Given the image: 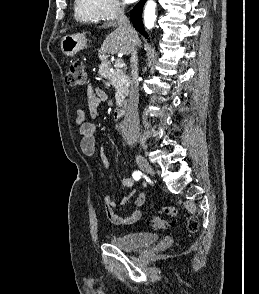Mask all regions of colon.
<instances>
[{
  "label": "colon",
  "instance_id": "obj_1",
  "mask_svg": "<svg viewBox=\"0 0 259 294\" xmlns=\"http://www.w3.org/2000/svg\"><path fill=\"white\" fill-rule=\"evenodd\" d=\"M66 85L69 87H81L87 83V74L85 71L84 63L80 60H74L70 63L68 72L65 76ZM159 214H164L168 217H174L177 214V210L172 206L162 207ZM149 224L154 228H167L170 223L158 215L151 216ZM198 221L195 218H191L188 223V228L191 232H195L198 229Z\"/></svg>",
  "mask_w": 259,
  "mask_h": 294
}]
</instances>
